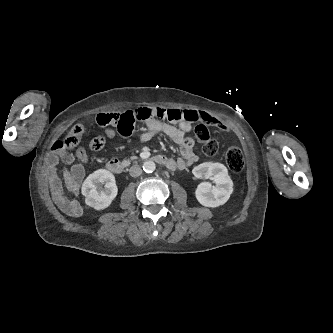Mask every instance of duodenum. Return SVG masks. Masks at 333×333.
I'll return each mask as SVG.
<instances>
[{
	"mask_svg": "<svg viewBox=\"0 0 333 333\" xmlns=\"http://www.w3.org/2000/svg\"><path fill=\"white\" fill-rule=\"evenodd\" d=\"M154 159L161 164H166L167 162V158L163 155H157ZM106 169L113 174H121L124 171L125 166L118 159L112 158L106 163Z\"/></svg>",
	"mask_w": 333,
	"mask_h": 333,
	"instance_id": "obj_1",
	"label": "duodenum"
}]
</instances>
